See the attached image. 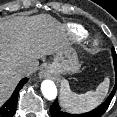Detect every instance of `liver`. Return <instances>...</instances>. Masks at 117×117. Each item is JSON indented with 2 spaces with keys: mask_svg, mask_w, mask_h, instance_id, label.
<instances>
[{
  "mask_svg": "<svg viewBox=\"0 0 117 117\" xmlns=\"http://www.w3.org/2000/svg\"><path fill=\"white\" fill-rule=\"evenodd\" d=\"M68 46L63 26L47 14L0 19V106L24 76L21 67L38 68V59Z\"/></svg>",
  "mask_w": 117,
  "mask_h": 117,
  "instance_id": "liver-1",
  "label": "liver"
}]
</instances>
